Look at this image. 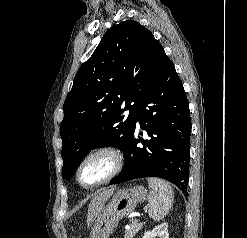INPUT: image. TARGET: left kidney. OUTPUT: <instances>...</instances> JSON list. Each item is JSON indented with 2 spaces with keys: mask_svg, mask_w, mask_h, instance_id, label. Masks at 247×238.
Returning a JSON list of instances; mask_svg holds the SVG:
<instances>
[{
  "mask_svg": "<svg viewBox=\"0 0 247 238\" xmlns=\"http://www.w3.org/2000/svg\"><path fill=\"white\" fill-rule=\"evenodd\" d=\"M169 238L168 224L162 223L155 227L152 231H148L144 234L143 238Z\"/></svg>",
  "mask_w": 247,
  "mask_h": 238,
  "instance_id": "5707ae66",
  "label": "left kidney"
}]
</instances>
